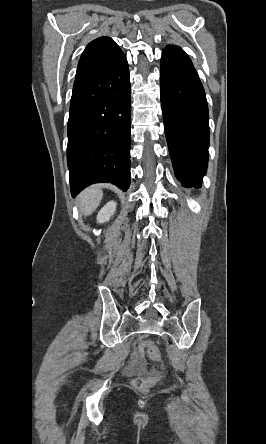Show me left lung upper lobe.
<instances>
[{
    "mask_svg": "<svg viewBox=\"0 0 266 444\" xmlns=\"http://www.w3.org/2000/svg\"><path fill=\"white\" fill-rule=\"evenodd\" d=\"M163 52L189 58L188 55L180 47L174 45H168L167 48L163 50Z\"/></svg>",
    "mask_w": 266,
    "mask_h": 444,
    "instance_id": "5c2ea615",
    "label": "left lung upper lobe"
}]
</instances>
